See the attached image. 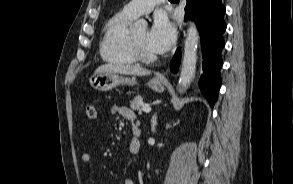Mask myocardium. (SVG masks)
Listing matches in <instances>:
<instances>
[{
	"label": "myocardium",
	"mask_w": 293,
	"mask_h": 184,
	"mask_svg": "<svg viewBox=\"0 0 293 184\" xmlns=\"http://www.w3.org/2000/svg\"><path fill=\"white\" fill-rule=\"evenodd\" d=\"M130 40H131L132 52L137 61H140L143 63H152L157 60L156 55H147L142 51L140 45L137 43L133 35H131Z\"/></svg>",
	"instance_id": "obj_1"
}]
</instances>
